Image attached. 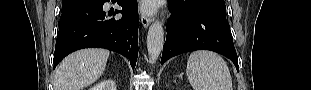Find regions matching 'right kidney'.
I'll return each mask as SVG.
<instances>
[{
	"label": "right kidney",
	"instance_id": "obj_1",
	"mask_svg": "<svg viewBox=\"0 0 311 90\" xmlns=\"http://www.w3.org/2000/svg\"><path fill=\"white\" fill-rule=\"evenodd\" d=\"M116 90L115 84L112 80H107L105 82H101L100 84H97L93 88H90V90Z\"/></svg>",
	"mask_w": 311,
	"mask_h": 90
}]
</instances>
